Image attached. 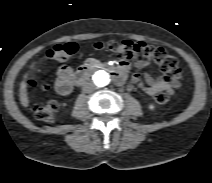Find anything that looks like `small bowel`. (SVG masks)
Segmentation results:
<instances>
[{
    "instance_id": "1",
    "label": "small bowel",
    "mask_w": 212,
    "mask_h": 183,
    "mask_svg": "<svg viewBox=\"0 0 212 183\" xmlns=\"http://www.w3.org/2000/svg\"><path fill=\"white\" fill-rule=\"evenodd\" d=\"M148 66H150V62L145 60H139L135 63V67L138 69H142ZM128 68L129 64L126 62H123L120 65L119 69L122 71L124 78ZM73 84L74 81L72 70L66 66L60 67L57 72V78L55 81V89L57 93L60 95L69 94L72 90ZM134 86H137L148 95L154 96L160 91H166L169 94H173L174 90L180 86V82L178 80L167 81L159 76L145 74L143 78H141L139 75L133 76L132 81L128 83V87L132 89Z\"/></svg>"
}]
</instances>
